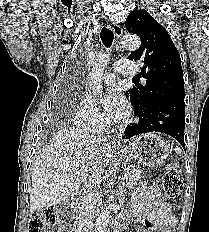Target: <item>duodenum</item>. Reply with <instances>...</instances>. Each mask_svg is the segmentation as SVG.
I'll use <instances>...</instances> for the list:
<instances>
[{"label":"duodenum","mask_w":209,"mask_h":232,"mask_svg":"<svg viewBox=\"0 0 209 232\" xmlns=\"http://www.w3.org/2000/svg\"><path fill=\"white\" fill-rule=\"evenodd\" d=\"M77 201H70L64 208V213L60 225V232H78L77 222L74 212L76 210ZM115 232H120L116 230Z\"/></svg>","instance_id":"duodenum-1"}]
</instances>
